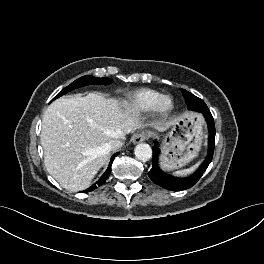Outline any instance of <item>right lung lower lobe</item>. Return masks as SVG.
<instances>
[{
	"instance_id": "1",
	"label": "right lung lower lobe",
	"mask_w": 264,
	"mask_h": 264,
	"mask_svg": "<svg viewBox=\"0 0 264 264\" xmlns=\"http://www.w3.org/2000/svg\"><path fill=\"white\" fill-rule=\"evenodd\" d=\"M118 153H115L110 160V164L106 170V172L101 176V178L95 183L93 184L90 188H88L87 190H85L84 192H90L93 191L94 189H96L98 186H101L102 184H104L106 182V180L108 179L110 173H111V165L113 163L114 157L117 156Z\"/></svg>"
}]
</instances>
